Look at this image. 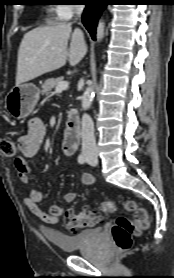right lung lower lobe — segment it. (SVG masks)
<instances>
[{"instance_id":"right-lung-lower-lobe-1","label":"right lung lower lobe","mask_w":174,"mask_h":278,"mask_svg":"<svg viewBox=\"0 0 174 278\" xmlns=\"http://www.w3.org/2000/svg\"><path fill=\"white\" fill-rule=\"evenodd\" d=\"M84 2L86 8L84 9L82 22L95 40L97 21L102 10L108 4V0H85Z\"/></svg>"}]
</instances>
